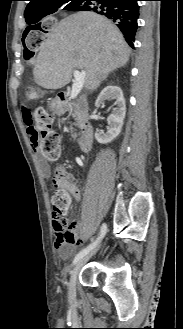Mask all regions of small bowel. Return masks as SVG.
I'll return each mask as SVG.
<instances>
[{
	"mask_svg": "<svg viewBox=\"0 0 183 329\" xmlns=\"http://www.w3.org/2000/svg\"><path fill=\"white\" fill-rule=\"evenodd\" d=\"M24 118H25L26 122L28 123L29 118H30V114L28 111H25ZM29 134L31 135L30 130H29ZM31 141H32V139H31ZM32 144H33L34 150L37 151L36 145L33 143V141H32ZM58 171L60 174L57 177H55L54 180L63 183L70 190V192L72 193L74 198L79 201L82 197V193L77 186L73 185L70 182L71 175L63 169H59ZM71 224L73 225V230H72L73 238L71 237V233L62 226L61 221L57 217H55V216L53 217V228H54V232H55V247L61 253H62V246L65 243H74L77 240L76 231L83 232V228L81 227V225L78 221H71ZM77 243L81 244V241L78 240Z\"/></svg>",
	"mask_w": 183,
	"mask_h": 329,
	"instance_id": "obj_1",
	"label": "small bowel"
}]
</instances>
